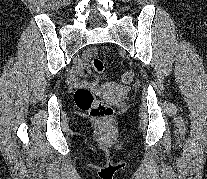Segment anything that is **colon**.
Instances as JSON below:
<instances>
[{
    "label": "colon",
    "mask_w": 207,
    "mask_h": 179,
    "mask_svg": "<svg viewBox=\"0 0 207 179\" xmlns=\"http://www.w3.org/2000/svg\"><path fill=\"white\" fill-rule=\"evenodd\" d=\"M92 65L97 72H103L104 64L100 59L94 58L92 60ZM121 80L123 84H130L133 80V73L130 71L125 72L122 75ZM74 100L79 110L88 112L95 120L100 122H109L113 118V109L109 105L98 101L92 91L88 88H78L75 92Z\"/></svg>",
    "instance_id": "obj_1"
}]
</instances>
